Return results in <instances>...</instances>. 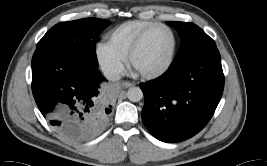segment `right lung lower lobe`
Wrapping results in <instances>:
<instances>
[{"label": "right lung lower lobe", "instance_id": "98d812e1", "mask_svg": "<svg viewBox=\"0 0 267 166\" xmlns=\"http://www.w3.org/2000/svg\"><path fill=\"white\" fill-rule=\"evenodd\" d=\"M105 80L96 66L56 46L37 47L32 91L42 115L64 135L85 139L107 124L111 106L100 100Z\"/></svg>", "mask_w": 267, "mask_h": 166}]
</instances>
